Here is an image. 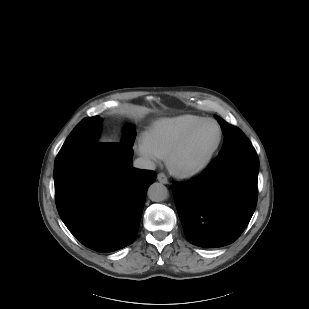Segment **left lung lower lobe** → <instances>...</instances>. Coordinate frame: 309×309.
Here are the masks:
<instances>
[{"mask_svg": "<svg viewBox=\"0 0 309 309\" xmlns=\"http://www.w3.org/2000/svg\"><path fill=\"white\" fill-rule=\"evenodd\" d=\"M258 156L253 147L218 156L198 177L173 182L172 191L186 239L199 247L233 243L257 203Z\"/></svg>", "mask_w": 309, "mask_h": 309, "instance_id": "left-lung-lower-lobe-1", "label": "left lung lower lobe"}]
</instances>
